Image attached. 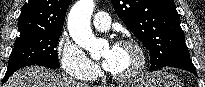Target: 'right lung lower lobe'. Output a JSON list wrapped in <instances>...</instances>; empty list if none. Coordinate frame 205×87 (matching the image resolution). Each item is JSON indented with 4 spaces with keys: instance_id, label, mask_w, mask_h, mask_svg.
<instances>
[{
    "instance_id": "98d812e1",
    "label": "right lung lower lobe",
    "mask_w": 205,
    "mask_h": 87,
    "mask_svg": "<svg viewBox=\"0 0 205 87\" xmlns=\"http://www.w3.org/2000/svg\"><path fill=\"white\" fill-rule=\"evenodd\" d=\"M29 65H32V64H28V63H17V64H13V65H10L8 66V69L6 71V74L3 78V81H2V84L5 83L7 81V79L15 72L17 71L18 69L22 68V67H25V66H29Z\"/></svg>"
}]
</instances>
